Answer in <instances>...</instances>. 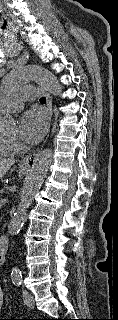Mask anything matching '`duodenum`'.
Masks as SVG:
<instances>
[{
  "mask_svg": "<svg viewBox=\"0 0 118 320\" xmlns=\"http://www.w3.org/2000/svg\"><path fill=\"white\" fill-rule=\"evenodd\" d=\"M8 247V239L5 236L0 237V265L3 264L5 258V252Z\"/></svg>",
  "mask_w": 118,
  "mask_h": 320,
  "instance_id": "duodenum-1",
  "label": "duodenum"
}]
</instances>
